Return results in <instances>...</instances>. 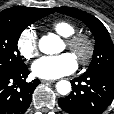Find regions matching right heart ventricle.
Segmentation results:
<instances>
[{
  "label": "right heart ventricle",
  "instance_id": "right-heart-ventricle-1",
  "mask_svg": "<svg viewBox=\"0 0 114 114\" xmlns=\"http://www.w3.org/2000/svg\"><path fill=\"white\" fill-rule=\"evenodd\" d=\"M51 28L64 38L73 35L77 30L75 24L68 20H56L51 23Z\"/></svg>",
  "mask_w": 114,
  "mask_h": 114
}]
</instances>
